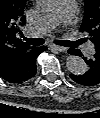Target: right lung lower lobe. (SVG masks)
I'll use <instances>...</instances> for the list:
<instances>
[{
  "mask_svg": "<svg viewBox=\"0 0 100 118\" xmlns=\"http://www.w3.org/2000/svg\"><path fill=\"white\" fill-rule=\"evenodd\" d=\"M46 46L30 48L19 53L12 62L0 65V76L10 83H23L36 73V58Z\"/></svg>",
  "mask_w": 100,
  "mask_h": 118,
  "instance_id": "98d812e1",
  "label": "right lung lower lobe"
}]
</instances>
